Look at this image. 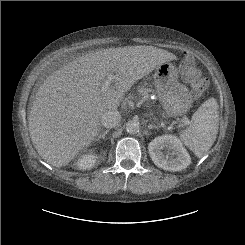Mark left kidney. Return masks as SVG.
<instances>
[{"label": "left kidney", "instance_id": "left-kidney-1", "mask_svg": "<svg viewBox=\"0 0 245 245\" xmlns=\"http://www.w3.org/2000/svg\"><path fill=\"white\" fill-rule=\"evenodd\" d=\"M165 149V152L162 150ZM149 155L154 164L168 171H181L191 163V158L182 142L173 135L154 138L148 145Z\"/></svg>", "mask_w": 245, "mask_h": 245}]
</instances>
